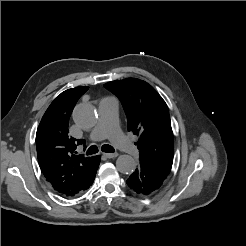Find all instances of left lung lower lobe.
Returning <instances> with one entry per match:
<instances>
[{"instance_id":"0a47b994","label":"left lung lower lobe","mask_w":246,"mask_h":246,"mask_svg":"<svg viewBox=\"0 0 246 246\" xmlns=\"http://www.w3.org/2000/svg\"><path fill=\"white\" fill-rule=\"evenodd\" d=\"M167 175L154 166L140 161L139 167L127 179L128 186L139 195H149L158 190Z\"/></svg>"}]
</instances>
